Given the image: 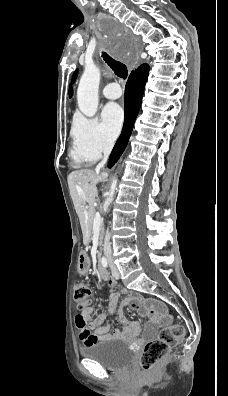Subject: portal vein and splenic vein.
<instances>
[{"instance_id":"obj_1","label":"portal vein and splenic vein","mask_w":228,"mask_h":396,"mask_svg":"<svg viewBox=\"0 0 228 396\" xmlns=\"http://www.w3.org/2000/svg\"><path fill=\"white\" fill-rule=\"evenodd\" d=\"M101 222H102L101 216L99 213H97L94 217L93 227L100 226Z\"/></svg>"}]
</instances>
